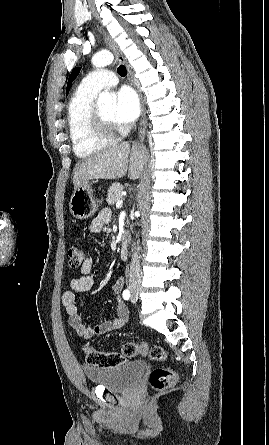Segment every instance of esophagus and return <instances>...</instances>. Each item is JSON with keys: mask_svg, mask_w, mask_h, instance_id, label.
I'll return each instance as SVG.
<instances>
[{"mask_svg": "<svg viewBox=\"0 0 269 445\" xmlns=\"http://www.w3.org/2000/svg\"><path fill=\"white\" fill-rule=\"evenodd\" d=\"M98 30L100 31V33H102L106 44L114 53L117 61L119 63H123L126 66L128 80L134 86V88L136 89V91L139 95L140 102H141V119H140V127H139V132H138V139L140 141H143L145 138V135H146V130H147V117H146V109L144 106V100L142 97L140 87L138 84L135 83V81L133 79L132 68H131L130 64L128 63L127 59L125 58V56L123 55V53L121 52V50L119 49V47L115 44V42L106 33H104L102 31L101 28L98 27Z\"/></svg>", "mask_w": 269, "mask_h": 445, "instance_id": "obj_1", "label": "esophagus"}]
</instances>
